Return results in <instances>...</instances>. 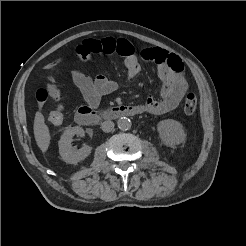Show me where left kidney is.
I'll use <instances>...</instances> for the list:
<instances>
[{
    "instance_id": "obj_1",
    "label": "left kidney",
    "mask_w": 246,
    "mask_h": 246,
    "mask_svg": "<svg viewBox=\"0 0 246 246\" xmlns=\"http://www.w3.org/2000/svg\"><path fill=\"white\" fill-rule=\"evenodd\" d=\"M159 137L169 147L179 145L186 140V133L183 125L173 119L162 120L157 125Z\"/></svg>"
}]
</instances>
